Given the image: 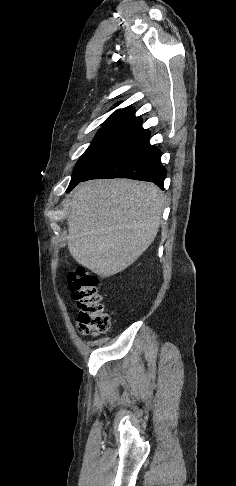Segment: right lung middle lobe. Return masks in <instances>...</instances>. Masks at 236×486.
Returning a JSON list of instances; mask_svg holds the SVG:
<instances>
[{
	"label": "right lung middle lobe",
	"mask_w": 236,
	"mask_h": 486,
	"mask_svg": "<svg viewBox=\"0 0 236 486\" xmlns=\"http://www.w3.org/2000/svg\"><path fill=\"white\" fill-rule=\"evenodd\" d=\"M140 126H116L101 128L84 154L78 160L66 192L71 191L95 167L128 143Z\"/></svg>",
	"instance_id": "right-lung-middle-lobe-1"
}]
</instances>
